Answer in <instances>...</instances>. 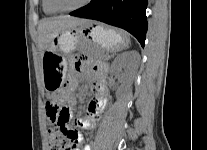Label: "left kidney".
<instances>
[{
	"instance_id": "1",
	"label": "left kidney",
	"mask_w": 207,
	"mask_h": 150,
	"mask_svg": "<svg viewBox=\"0 0 207 150\" xmlns=\"http://www.w3.org/2000/svg\"><path fill=\"white\" fill-rule=\"evenodd\" d=\"M140 56L138 52L132 51L121 54L115 58L111 65V73L117 75L122 67H126V72L121 74L123 79L124 89H127L132 82V79L138 69ZM122 91H119L120 94Z\"/></svg>"
}]
</instances>
